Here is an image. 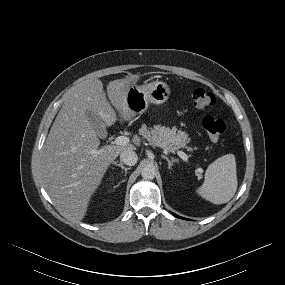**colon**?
<instances>
[{
    "label": "colon",
    "mask_w": 285,
    "mask_h": 285,
    "mask_svg": "<svg viewBox=\"0 0 285 285\" xmlns=\"http://www.w3.org/2000/svg\"><path fill=\"white\" fill-rule=\"evenodd\" d=\"M193 106L198 111L206 110L215 104L212 93L202 88H197L192 93ZM203 128L211 142H217L223 135L226 125L223 120L206 115L202 120Z\"/></svg>",
    "instance_id": "obj_1"
}]
</instances>
